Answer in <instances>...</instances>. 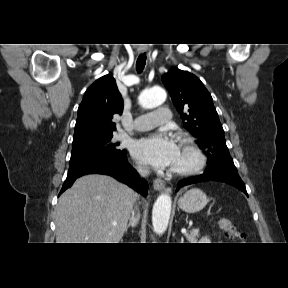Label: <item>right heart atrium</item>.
<instances>
[{
    "instance_id": "right-heart-atrium-1",
    "label": "right heart atrium",
    "mask_w": 288,
    "mask_h": 288,
    "mask_svg": "<svg viewBox=\"0 0 288 288\" xmlns=\"http://www.w3.org/2000/svg\"><path fill=\"white\" fill-rule=\"evenodd\" d=\"M138 169L141 170V171H144V170H145V167L142 166V165H138Z\"/></svg>"
}]
</instances>
